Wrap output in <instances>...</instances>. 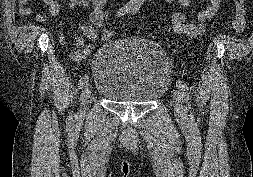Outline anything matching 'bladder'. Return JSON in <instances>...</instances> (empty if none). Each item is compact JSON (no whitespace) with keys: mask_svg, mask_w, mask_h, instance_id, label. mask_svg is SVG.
<instances>
[{"mask_svg":"<svg viewBox=\"0 0 253 177\" xmlns=\"http://www.w3.org/2000/svg\"><path fill=\"white\" fill-rule=\"evenodd\" d=\"M170 71L163 49L140 40L111 39L92 64L95 91L114 103L157 101L168 86Z\"/></svg>","mask_w":253,"mask_h":177,"instance_id":"obj_1","label":"bladder"}]
</instances>
